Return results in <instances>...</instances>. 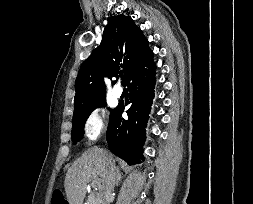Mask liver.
Listing matches in <instances>:
<instances>
[{
  "label": "liver",
  "instance_id": "6515ba94",
  "mask_svg": "<svg viewBox=\"0 0 253 204\" xmlns=\"http://www.w3.org/2000/svg\"><path fill=\"white\" fill-rule=\"evenodd\" d=\"M109 159L114 164L112 154L94 147L85 151L80 158L74 161L66 173L64 182L66 196L70 204H83L90 181L98 180L103 183Z\"/></svg>",
  "mask_w": 253,
  "mask_h": 204
}]
</instances>
